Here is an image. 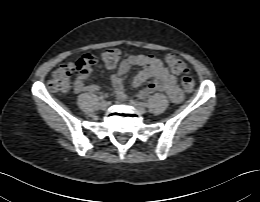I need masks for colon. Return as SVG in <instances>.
Instances as JSON below:
<instances>
[{"instance_id": "1", "label": "colon", "mask_w": 260, "mask_h": 202, "mask_svg": "<svg viewBox=\"0 0 260 202\" xmlns=\"http://www.w3.org/2000/svg\"><path fill=\"white\" fill-rule=\"evenodd\" d=\"M124 53L119 48H108L101 52L100 58L107 67H115L122 59ZM96 63L93 55H85L75 62H68L59 66L53 73L48 83V88L53 92L66 93L72 88L71 78L83 70L91 69ZM165 64L169 71L182 74L181 84L185 91L191 92L195 87L194 79L187 75L189 68L187 64L174 54L165 57Z\"/></svg>"}]
</instances>
